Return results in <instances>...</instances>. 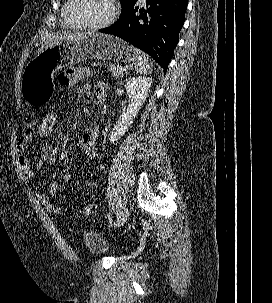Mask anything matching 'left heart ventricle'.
I'll return each instance as SVG.
<instances>
[{
  "mask_svg": "<svg viewBox=\"0 0 272 303\" xmlns=\"http://www.w3.org/2000/svg\"><path fill=\"white\" fill-rule=\"evenodd\" d=\"M111 11L109 0H74L69 8V17L76 23L99 24Z\"/></svg>",
  "mask_w": 272,
  "mask_h": 303,
  "instance_id": "1",
  "label": "left heart ventricle"
}]
</instances>
